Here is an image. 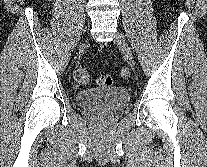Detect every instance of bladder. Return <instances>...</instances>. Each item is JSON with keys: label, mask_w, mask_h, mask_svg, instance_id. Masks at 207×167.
<instances>
[{"label": "bladder", "mask_w": 207, "mask_h": 167, "mask_svg": "<svg viewBox=\"0 0 207 167\" xmlns=\"http://www.w3.org/2000/svg\"><path fill=\"white\" fill-rule=\"evenodd\" d=\"M74 98L80 108L91 112H118L130 102L129 93L121 87L83 89Z\"/></svg>", "instance_id": "obj_1"}]
</instances>
